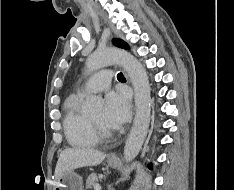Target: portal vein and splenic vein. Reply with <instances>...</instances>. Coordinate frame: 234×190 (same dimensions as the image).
Segmentation results:
<instances>
[{"label": "portal vein and splenic vein", "mask_w": 234, "mask_h": 190, "mask_svg": "<svg viewBox=\"0 0 234 190\" xmlns=\"http://www.w3.org/2000/svg\"><path fill=\"white\" fill-rule=\"evenodd\" d=\"M94 190H101V186L99 184L94 185Z\"/></svg>", "instance_id": "18ae733b"}]
</instances>
